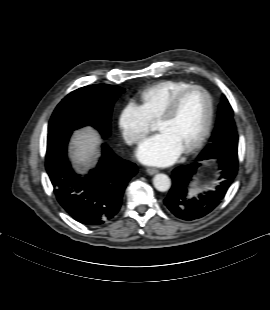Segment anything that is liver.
Listing matches in <instances>:
<instances>
[{"instance_id": "obj_1", "label": "liver", "mask_w": 270, "mask_h": 310, "mask_svg": "<svg viewBox=\"0 0 270 310\" xmlns=\"http://www.w3.org/2000/svg\"><path fill=\"white\" fill-rule=\"evenodd\" d=\"M101 139L91 127H85L73 134L70 143V158L79 171L87 170L99 156Z\"/></svg>"}]
</instances>
